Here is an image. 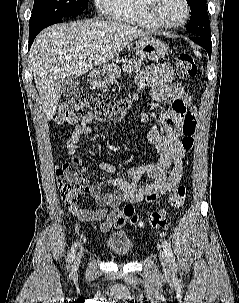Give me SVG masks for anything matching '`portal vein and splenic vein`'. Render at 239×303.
Instances as JSON below:
<instances>
[{"instance_id": "portal-vein-and-splenic-vein-1", "label": "portal vein and splenic vein", "mask_w": 239, "mask_h": 303, "mask_svg": "<svg viewBox=\"0 0 239 303\" xmlns=\"http://www.w3.org/2000/svg\"><path fill=\"white\" fill-rule=\"evenodd\" d=\"M91 51H92V49H91V50H88V51L86 52V54H90V53H91Z\"/></svg>"}]
</instances>
